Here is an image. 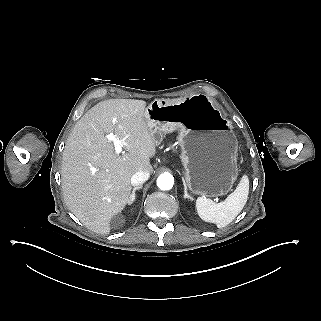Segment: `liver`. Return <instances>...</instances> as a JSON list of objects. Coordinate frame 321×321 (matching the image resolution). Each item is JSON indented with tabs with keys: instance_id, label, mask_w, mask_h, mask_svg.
<instances>
[{
	"instance_id": "liver-1",
	"label": "liver",
	"mask_w": 321,
	"mask_h": 321,
	"mask_svg": "<svg viewBox=\"0 0 321 321\" xmlns=\"http://www.w3.org/2000/svg\"><path fill=\"white\" fill-rule=\"evenodd\" d=\"M147 102L110 99L87 111L75 124L62 157V189L67 207L90 230L111 232L112 220L126 208L131 177L154 174L149 158L157 152L156 137L145 118ZM131 144L117 153L106 134Z\"/></svg>"
}]
</instances>
